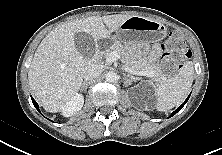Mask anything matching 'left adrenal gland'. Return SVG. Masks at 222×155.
Masks as SVG:
<instances>
[{"mask_svg": "<svg viewBox=\"0 0 222 155\" xmlns=\"http://www.w3.org/2000/svg\"><path fill=\"white\" fill-rule=\"evenodd\" d=\"M124 80H125V82L127 83V86H128V83L130 84V81H131L130 78H128V76H125Z\"/></svg>", "mask_w": 222, "mask_h": 155, "instance_id": "left-adrenal-gland-1", "label": "left adrenal gland"}]
</instances>
